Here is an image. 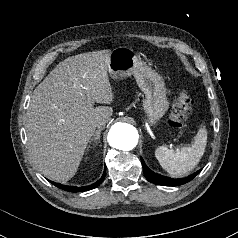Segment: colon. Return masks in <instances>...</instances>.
<instances>
[{"mask_svg":"<svg viewBox=\"0 0 238 238\" xmlns=\"http://www.w3.org/2000/svg\"><path fill=\"white\" fill-rule=\"evenodd\" d=\"M193 100L191 96L183 91L173 104V109L169 117L170 126L178 129L185 128L192 111Z\"/></svg>","mask_w":238,"mask_h":238,"instance_id":"colon-1","label":"colon"}]
</instances>
